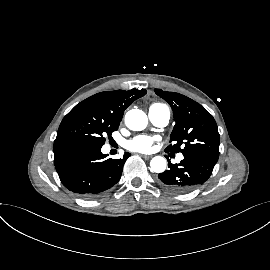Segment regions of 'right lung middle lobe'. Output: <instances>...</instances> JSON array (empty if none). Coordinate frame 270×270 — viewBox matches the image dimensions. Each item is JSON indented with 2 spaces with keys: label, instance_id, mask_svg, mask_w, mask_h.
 <instances>
[{
  "label": "right lung middle lobe",
  "instance_id": "obj_1",
  "mask_svg": "<svg viewBox=\"0 0 270 270\" xmlns=\"http://www.w3.org/2000/svg\"><path fill=\"white\" fill-rule=\"evenodd\" d=\"M118 127L119 124L99 117L91 105L82 101L63 118L54 144L78 142L102 147L105 136L110 137Z\"/></svg>",
  "mask_w": 270,
  "mask_h": 270
}]
</instances>
